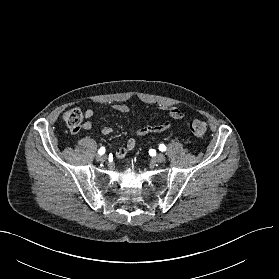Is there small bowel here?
I'll return each mask as SVG.
<instances>
[{"mask_svg": "<svg viewBox=\"0 0 279 279\" xmlns=\"http://www.w3.org/2000/svg\"><path fill=\"white\" fill-rule=\"evenodd\" d=\"M114 109L119 113H128L129 107L124 104H119L114 107ZM159 111L167 113L171 118L176 120H182L185 117L184 111L178 106H167L162 105L158 107ZM94 112L91 109L85 111V122L83 124V128L85 130H90L93 127V123L91 118ZM171 127L170 121H165L161 124L157 125H146L144 127L138 128L134 131V136L143 137L152 133H161L168 130ZM102 133L104 135H110L113 132V128L111 126L105 125L102 127ZM136 147V140L134 137L128 139L127 143L124 146H121L116 149L115 157L118 159L124 158L128 152L132 151Z\"/></svg>", "mask_w": 279, "mask_h": 279, "instance_id": "1", "label": "small bowel"}]
</instances>
